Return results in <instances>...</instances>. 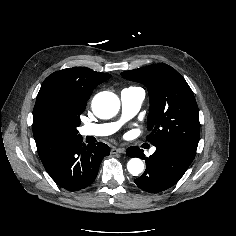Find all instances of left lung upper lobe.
<instances>
[{"label": "left lung upper lobe", "mask_w": 236, "mask_h": 236, "mask_svg": "<svg viewBox=\"0 0 236 236\" xmlns=\"http://www.w3.org/2000/svg\"><path fill=\"white\" fill-rule=\"evenodd\" d=\"M131 81L147 87L150 110L147 140L153 144H173L197 150L200 138L198 107L185 79L163 63L122 72Z\"/></svg>", "instance_id": "left-lung-upper-lobe-1"}]
</instances>
